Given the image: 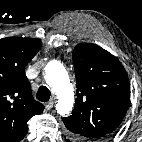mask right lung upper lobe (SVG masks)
I'll list each match as a JSON object with an SVG mask.
<instances>
[{"mask_svg": "<svg viewBox=\"0 0 142 142\" xmlns=\"http://www.w3.org/2000/svg\"><path fill=\"white\" fill-rule=\"evenodd\" d=\"M40 47L39 39H0V142L22 140L28 132L27 121L44 110L32 97L25 75V66Z\"/></svg>", "mask_w": 142, "mask_h": 142, "instance_id": "obj_1", "label": "right lung upper lobe"}]
</instances>
